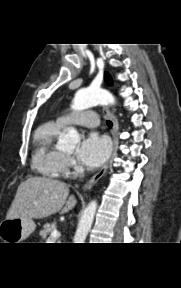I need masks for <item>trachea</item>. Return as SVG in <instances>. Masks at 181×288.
<instances>
[{"mask_svg": "<svg viewBox=\"0 0 181 288\" xmlns=\"http://www.w3.org/2000/svg\"><path fill=\"white\" fill-rule=\"evenodd\" d=\"M106 124H107V126L110 127V128H111L112 125H113V123H112L110 120H107V121H106Z\"/></svg>", "mask_w": 181, "mask_h": 288, "instance_id": "1", "label": "trachea"}]
</instances>
